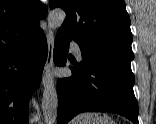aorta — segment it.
<instances>
[{
	"instance_id": "762f6f07",
	"label": "aorta",
	"mask_w": 156,
	"mask_h": 124,
	"mask_svg": "<svg viewBox=\"0 0 156 124\" xmlns=\"http://www.w3.org/2000/svg\"><path fill=\"white\" fill-rule=\"evenodd\" d=\"M66 14L61 9H54L47 16L48 27L52 30L59 28ZM58 96L52 79L46 83L42 97V111L45 124H55L57 119Z\"/></svg>"
}]
</instances>
